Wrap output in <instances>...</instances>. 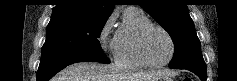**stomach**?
I'll use <instances>...</instances> for the list:
<instances>
[{"label":"stomach","instance_id":"1","mask_svg":"<svg viewBox=\"0 0 237 81\" xmlns=\"http://www.w3.org/2000/svg\"><path fill=\"white\" fill-rule=\"evenodd\" d=\"M151 81H172L171 78L167 75L159 76Z\"/></svg>","mask_w":237,"mask_h":81}]
</instances>
